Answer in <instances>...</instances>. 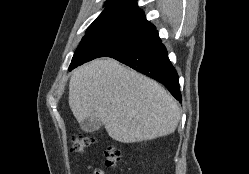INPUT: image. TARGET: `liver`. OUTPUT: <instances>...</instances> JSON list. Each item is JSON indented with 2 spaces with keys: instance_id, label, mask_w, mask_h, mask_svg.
<instances>
[{
  "instance_id": "1",
  "label": "liver",
  "mask_w": 249,
  "mask_h": 174,
  "mask_svg": "<svg viewBox=\"0 0 249 174\" xmlns=\"http://www.w3.org/2000/svg\"><path fill=\"white\" fill-rule=\"evenodd\" d=\"M69 106L79 123L97 117L122 143L170 135L180 120L178 103L161 85L110 58L73 71Z\"/></svg>"
}]
</instances>
